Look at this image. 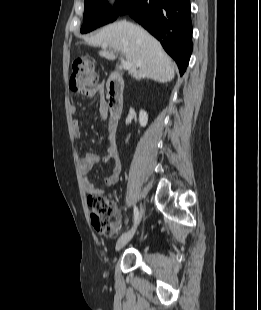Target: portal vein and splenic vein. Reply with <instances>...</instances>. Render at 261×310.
<instances>
[{
  "mask_svg": "<svg viewBox=\"0 0 261 310\" xmlns=\"http://www.w3.org/2000/svg\"><path fill=\"white\" fill-rule=\"evenodd\" d=\"M102 47L103 48H107L108 44H103ZM121 64H122V67L124 69H129L130 68V63L128 61H125L123 58H121Z\"/></svg>",
  "mask_w": 261,
  "mask_h": 310,
  "instance_id": "1",
  "label": "portal vein and splenic vein"
}]
</instances>
